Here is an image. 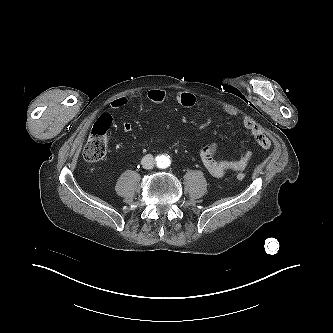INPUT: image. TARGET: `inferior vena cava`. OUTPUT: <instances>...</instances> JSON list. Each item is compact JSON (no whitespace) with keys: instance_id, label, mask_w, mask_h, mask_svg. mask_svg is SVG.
<instances>
[{"instance_id":"1","label":"inferior vena cava","mask_w":333,"mask_h":333,"mask_svg":"<svg viewBox=\"0 0 333 333\" xmlns=\"http://www.w3.org/2000/svg\"><path fill=\"white\" fill-rule=\"evenodd\" d=\"M144 169H152L154 167V157L151 154L145 155L141 160Z\"/></svg>"}]
</instances>
